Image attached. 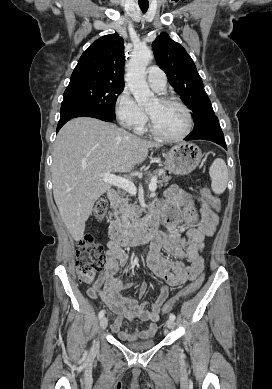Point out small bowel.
Listing matches in <instances>:
<instances>
[{"label": "small bowel", "instance_id": "obj_1", "mask_svg": "<svg viewBox=\"0 0 272 389\" xmlns=\"http://www.w3.org/2000/svg\"><path fill=\"white\" fill-rule=\"evenodd\" d=\"M152 211L163 218L167 229L156 235L147 261L154 276L165 283L160 286L157 299L147 303L121 295L123 289L136 286L140 297H143L146 285L120 281L117 274L127 264L128 256L121 246L112 242L108 243L105 265L97 281L87 291L90 298L100 297L111 311L119 314L111 324V330L121 340L148 339L155 334L162 305L168 298L167 286H181L202 273L204 240L215 233L218 224V216L204 196H196L177 185L166 190L165 200L154 203ZM181 223L185 226L184 236L180 233ZM163 250L175 260L166 258ZM181 260L188 261L190 265ZM125 320H140L148 324L145 329L130 330L123 328Z\"/></svg>", "mask_w": 272, "mask_h": 389}]
</instances>
